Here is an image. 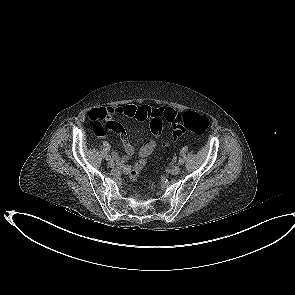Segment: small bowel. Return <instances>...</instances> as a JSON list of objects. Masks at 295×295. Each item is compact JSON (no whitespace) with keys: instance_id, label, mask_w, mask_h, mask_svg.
I'll return each mask as SVG.
<instances>
[{"instance_id":"1","label":"small bowel","mask_w":295,"mask_h":295,"mask_svg":"<svg viewBox=\"0 0 295 295\" xmlns=\"http://www.w3.org/2000/svg\"><path fill=\"white\" fill-rule=\"evenodd\" d=\"M111 114L137 120L150 119V128L154 135V139L157 141L161 137L164 122L166 121L168 124H170V116L177 115L178 113L175 110L167 107L152 108L145 105L139 106L134 104H128L110 109H92L89 111L88 116L90 120L95 121V130L98 133H103L106 129H109L115 135H122L125 154L118 155L116 152H113V156L116 159L118 165H120L125 172H128L130 169L126 166V163L133 154L134 148L124 133V127L122 126V123L119 120H114L112 117H108ZM179 133L180 131L170 125V129L167 131L166 138L162 145L165 147L170 146L178 138Z\"/></svg>"}]
</instances>
